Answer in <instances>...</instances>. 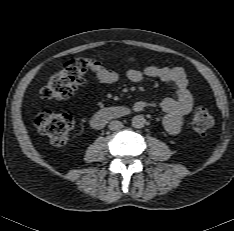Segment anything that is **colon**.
<instances>
[{"instance_id": "colon-1", "label": "colon", "mask_w": 234, "mask_h": 231, "mask_svg": "<svg viewBox=\"0 0 234 231\" xmlns=\"http://www.w3.org/2000/svg\"><path fill=\"white\" fill-rule=\"evenodd\" d=\"M89 58H77L66 63L53 74L41 90L45 99L62 100L70 97L75 89L85 80L92 69ZM75 117L71 112L43 111L36 118V128L46 136L53 146L67 143L74 128ZM213 125V117L205 107H197L192 118V127L198 133L207 132Z\"/></svg>"}]
</instances>
